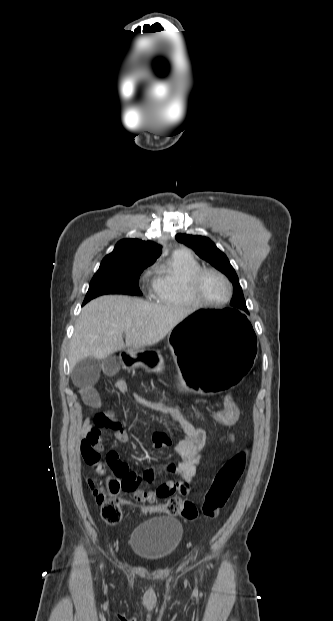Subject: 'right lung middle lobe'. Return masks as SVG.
Returning <instances> with one entry per match:
<instances>
[{
	"label": "right lung middle lobe",
	"instance_id": "dd1d6c3e",
	"mask_svg": "<svg viewBox=\"0 0 333 621\" xmlns=\"http://www.w3.org/2000/svg\"><path fill=\"white\" fill-rule=\"evenodd\" d=\"M148 266L150 265L143 263H101L90 283L83 305L104 294L142 295L138 279L142 271Z\"/></svg>",
	"mask_w": 333,
	"mask_h": 621
}]
</instances>
